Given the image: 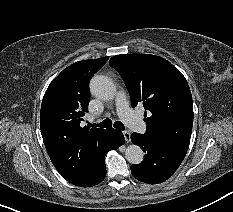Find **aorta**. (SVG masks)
<instances>
[{"label": "aorta", "instance_id": "762f6f07", "mask_svg": "<svg viewBox=\"0 0 233 212\" xmlns=\"http://www.w3.org/2000/svg\"><path fill=\"white\" fill-rule=\"evenodd\" d=\"M90 90L92 94L103 100L114 99L117 89L111 79L103 75H96L91 79ZM125 157L131 164H139L142 162L144 153L137 145H129L125 151Z\"/></svg>", "mask_w": 233, "mask_h": 212}]
</instances>
